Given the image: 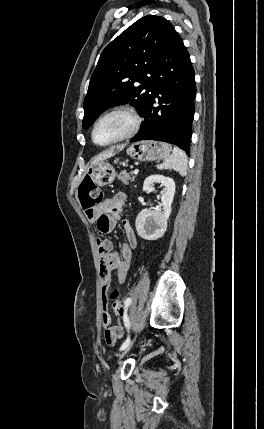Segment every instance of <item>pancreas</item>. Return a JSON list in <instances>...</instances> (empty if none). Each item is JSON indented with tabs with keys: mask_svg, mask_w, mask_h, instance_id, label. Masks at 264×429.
Here are the masks:
<instances>
[{
	"mask_svg": "<svg viewBox=\"0 0 264 429\" xmlns=\"http://www.w3.org/2000/svg\"><path fill=\"white\" fill-rule=\"evenodd\" d=\"M118 179L124 184L128 185L130 182L134 181L135 177L133 176L132 172H127L123 170L119 174Z\"/></svg>",
	"mask_w": 264,
	"mask_h": 429,
	"instance_id": "cf45deb5",
	"label": "pancreas"
}]
</instances>
